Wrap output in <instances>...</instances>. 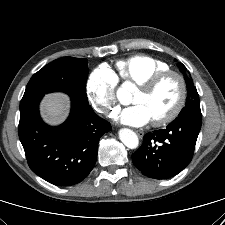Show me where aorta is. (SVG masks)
Returning a JSON list of instances; mask_svg holds the SVG:
<instances>
[{
  "instance_id": "762f6f07",
  "label": "aorta",
  "mask_w": 225,
  "mask_h": 225,
  "mask_svg": "<svg viewBox=\"0 0 225 225\" xmlns=\"http://www.w3.org/2000/svg\"><path fill=\"white\" fill-rule=\"evenodd\" d=\"M133 89V84L129 82H125L117 91V97L120 102H123L124 99H130L131 98V92ZM119 138L121 142L130 149L137 148L139 144V140L135 132H133L130 129H121L119 131Z\"/></svg>"
}]
</instances>
